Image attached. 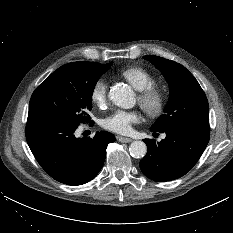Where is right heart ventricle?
<instances>
[{"label": "right heart ventricle", "mask_w": 233, "mask_h": 233, "mask_svg": "<svg viewBox=\"0 0 233 233\" xmlns=\"http://www.w3.org/2000/svg\"><path fill=\"white\" fill-rule=\"evenodd\" d=\"M121 76L130 82L133 87L139 91L154 86V77L145 69L140 67H131L122 71Z\"/></svg>", "instance_id": "obj_1"}]
</instances>
